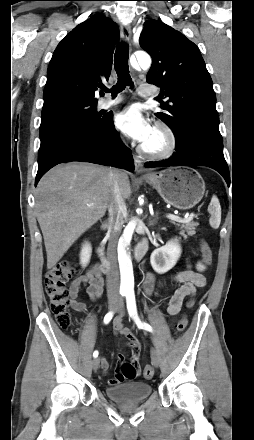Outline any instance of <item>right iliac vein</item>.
Here are the masks:
<instances>
[{"mask_svg": "<svg viewBox=\"0 0 254 440\" xmlns=\"http://www.w3.org/2000/svg\"><path fill=\"white\" fill-rule=\"evenodd\" d=\"M109 309L110 310H114L115 309V303H110ZM99 364H100V359L99 358H94L93 361H92V367H93L94 371H96L99 368Z\"/></svg>", "mask_w": 254, "mask_h": 440, "instance_id": "1", "label": "right iliac vein"}]
</instances>
